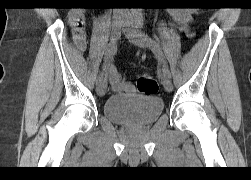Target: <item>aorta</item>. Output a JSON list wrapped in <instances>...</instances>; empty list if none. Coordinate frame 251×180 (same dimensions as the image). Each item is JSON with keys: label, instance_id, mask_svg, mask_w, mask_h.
<instances>
[{"label": "aorta", "instance_id": "762f6f07", "mask_svg": "<svg viewBox=\"0 0 251 180\" xmlns=\"http://www.w3.org/2000/svg\"><path fill=\"white\" fill-rule=\"evenodd\" d=\"M133 10H137V11H135V13L140 14V9H133Z\"/></svg>", "mask_w": 251, "mask_h": 180}]
</instances>
